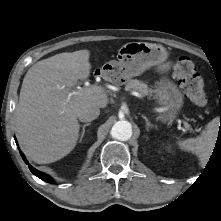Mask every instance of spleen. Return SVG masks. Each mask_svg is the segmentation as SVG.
Instances as JSON below:
<instances>
[{"instance_id":"3e777b00","label":"spleen","mask_w":221,"mask_h":221,"mask_svg":"<svg viewBox=\"0 0 221 221\" xmlns=\"http://www.w3.org/2000/svg\"><path fill=\"white\" fill-rule=\"evenodd\" d=\"M219 130L218 118H214L206 126V130L197 138H189L178 143L182 150L192 152L199 158L200 165L204 166L214 148Z\"/></svg>"}]
</instances>
